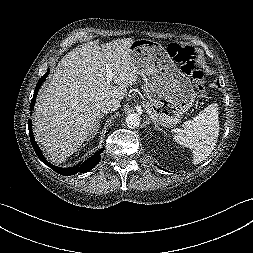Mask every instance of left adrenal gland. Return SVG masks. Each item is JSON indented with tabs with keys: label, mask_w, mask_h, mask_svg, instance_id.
Segmentation results:
<instances>
[{
	"label": "left adrenal gland",
	"mask_w": 253,
	"mask_h": 253,
	"mask_svg": "<svg viewBox=\"0 0 253 253\" xmlns=\"http://www.w3.org/2000/svg\"><path fill=\"white\" fill-rule=\"evenodd\" d=\"M155 129H157V130H159V131H161V132H164V130L163 129H161V128H159L158 126H156V128ZM165 133V132H164Z\"/></svg>",
	"instance_id": "a2214340"
}]
</instances>
